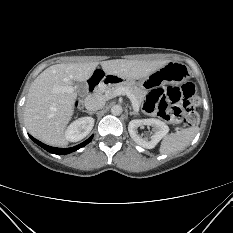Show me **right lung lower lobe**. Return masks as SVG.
I'll list each match as a JSON object with an SVG mask.
<instances>
[{
    "label": "right lung lower lobe",
    "mask_w": 233,
    "mask_h": 233,
    "mask_svg": "<svg viewBox=\"0 0 233 233\" xmlns=\"http://www.w3.org/2000/svg\"><path fill=\"white\" fill-rule=\"evenodd\" d=\"M29 136L36 144H38L39 146H41L42 148H44L48 152L53 153V154H58V155L68 154V153H71V152H74V151L78 150L79 148H81V147L85 146L86 144H88L91 141L92 137H93V136H91L89 139H87L86 141H84L83 143H81V144H79L77 146L63 149V148H55V147L45 145L42 142L38 141L37 139L33 138L31 135H29Z\"/></svg>",
    "instance_id": "right-lung-lower-lobe-1"
}]
</instances>
